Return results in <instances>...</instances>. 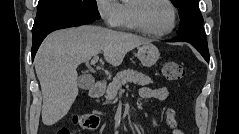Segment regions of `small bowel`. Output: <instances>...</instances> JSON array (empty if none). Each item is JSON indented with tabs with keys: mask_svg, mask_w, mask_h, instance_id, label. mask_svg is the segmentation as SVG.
<instances>
[{
	"mask_svg": "<svg viewBox=\"0 0 239 134\" xmlns=\"http://www.w3.org/2000/svg\"><path fill=\"white\" fill-rule=\"evenodd\" d=\"M139 95L142 99H157V100H166L169 96V91L166 87L150 88L143 87L139 91ZM173 134H182V131L174 129Z\"/></svg>",
	"mask_w": 239,
	"mask_h": 134,
	"instance_id": "1",
	"label": "small bowel"
}]
</instances>
